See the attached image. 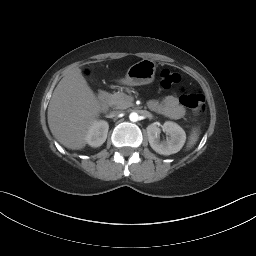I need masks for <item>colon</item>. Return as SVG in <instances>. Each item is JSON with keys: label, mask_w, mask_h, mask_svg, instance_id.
Listing matches in <instances>:
<instances>
[{"label": "colon", "mask_w": 256, "mask_h": 256, "mask_svg": "<svg viewBox=\"0 0 256 256\" xmlns=\"http://www.w3.org/2000/svg\"><path fill=\"white\" fill-rule=\"evenodd\" d=\"M181 82V77L178 73L168 69L163 68L159 72V83L164 89H170L174 86H178ZM180 103L195 112H203L205 109V98L202 93L196 92H186L183 91L179 98Z\"/></svg>", "instance_id": "colon-1"}]
</instances>
